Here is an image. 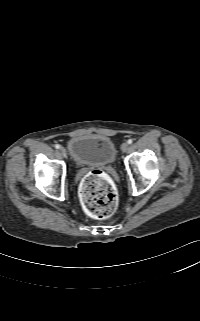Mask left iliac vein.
I'll use <instances>...</instances> for the list:
<instances>
[{"label":"left iliac vein","instance_id":"obj_1","mask_svg":"<svg viewBox=\"0 0 200 321\" xmlns=\"http://www.w3.org/2000/svg\"><path fill=\"white\" fill-rule=\"evenodd\" d=\"M128 149H129L128 143H123V144L121 145V150H122L123 152H127Z\"/></svg>","mask_w":200,"mask_h":321}]
</instances>
